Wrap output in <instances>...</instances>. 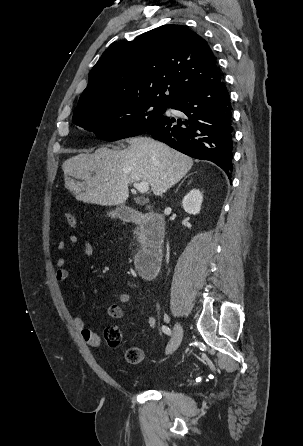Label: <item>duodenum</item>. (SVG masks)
Segmentation results:
<instances>
[{
    "instance_id": "1",
    "label": "duodenum",
    "mask_w": 303,
    "mask_h": 446,
    "mask_svg": "<svg viewBox=\"0 0 303 446\" xmlns=\"http://www.w3.org/2000/svg\"><path fill=\"white\" fill-rule=\"evenodd\" d=\"M120 217L133 222L141 228L144 242L135 256V267L145 278L153 277L162 259L164 220L156 212L139 213L130 209L123 210Z\"/></svg>"
}]
</instances>
